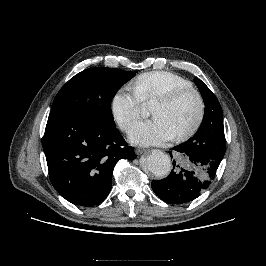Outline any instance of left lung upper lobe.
Segmentation results:
<instances>
[{"label": "left lung upper lobe", "instance_id": "5c2ea615", "mask_svg": "<svg viewBox=\"0 0 266 266\" xmlns=\"http://www.w3.org/2000/svg\"><path fill=\"white\" fill-rule=\"evenodd\" d=\"M194 81L204 100L205 113L197 133L183 143V146L190 151L221 161L226 149L222 108L203 81Z\"/></svg>", "mask_w": 266, "mask_h": 266}]
</instances>
